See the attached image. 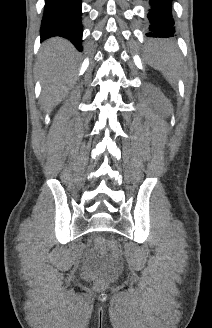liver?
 Masks as SVG:
<instances>
[{"mask_svg": "<svg viewBox=\"0 0 212 328\" xmlns=\"http://www.w3.org/2000/svg\"><path fill=\"white\" fill-rule=\"evenodd\" d=\"M74 59L75 49L67 40L53 38L44 44L40 57L44 107L57 105L65 97L73 78Z\"/></svg>", "mask_w": 212, "mask_h": 328, "instance_id": "1", "label": "liver"}]
</instances>
